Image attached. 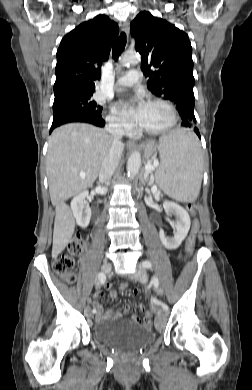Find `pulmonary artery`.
<instances>
[{"label": "pulmonary artery", "mask_w": 252, "mask_h": 390, "mask_svg": "<svg viewBox=\"0 0 252 390\" xmlns=\"http://www.w3.org/2000/svg\"><path fill=\"white\" fill-rule=\"evenodd\" d=\"M141 73L137 69L128 71L125 75L121 76L116 82V89H122L125 87H131L140 81Z\"/></svg>", "instance_id": "e3ab8cb5"}]
</instances>
